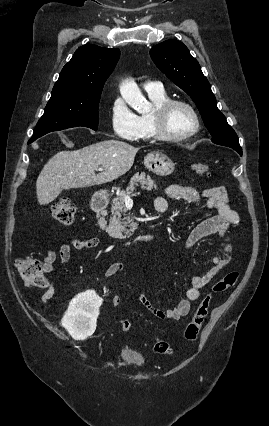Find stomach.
Returning a JSON list of instances; mask_svg holds the SVG:
<instances>
[{"instance_id": "obj_1", "label": "stomach", "mask_w": 269, "mask_h": 426, "mask_svg": "<svg viewBox=\"0 0 269 426\" xmlns=\"http://www.w3.org/2000/svg\"><path fill=\"white\" fill-rule=\"evenodd\" d=\"M144 164L149 171L159 176L170 175L175 168L173 161L167 155L158 152L149 153L144 159Z\"/></svg>"}]
</instances>
